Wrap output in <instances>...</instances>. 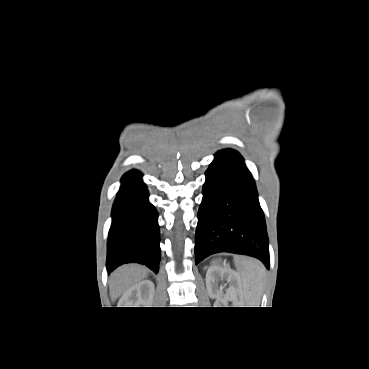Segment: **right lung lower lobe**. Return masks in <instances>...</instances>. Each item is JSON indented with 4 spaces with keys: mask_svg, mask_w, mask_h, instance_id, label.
<instances>
[{
    "mask_svg": "<svg viewBox=\"0 0 369 369\" xmlns=\"http://www.w3.org/2000/svg\"><path fill=\"white\" fill-rule=\"evenodd\" d=\"M142 174L132 170L122 178V185L112 208V225L107 245V271L136 262L155 273L159 270L160 235L158 213L148 202Z\"/></svg>",
    "mask_w": 369,
    "mask_h": 369,
    "instance_id": "right-lung-lower-lobe-1",
    "label": "right lung lower lobe"
}]
</instances>
